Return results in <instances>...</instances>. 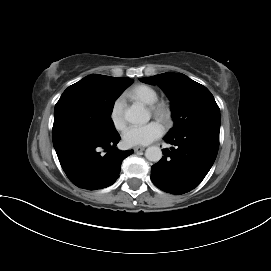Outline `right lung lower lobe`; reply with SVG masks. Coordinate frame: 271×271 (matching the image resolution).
Returning a JSON list of instances; mask_svg holds the SVG:
<instances>
[{"label": "right lung lower lobe", "instance_id": "1", "mask_svg": "<svg viewBox=\"0 0 271 271\" xmlns=\"http://www.w3.org/2000/svg\"><path fill=\"white\" fill-rule=\"evenodd\" d=\"M119 140L118 132L96 133L64 140L54 148L70 181L79 188L96 190L112 185L122 161L133 153L118 150Z\"/></svg>", "mask_w": 271, "mask_h": 271}]
</instances>
